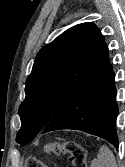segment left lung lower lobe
Instances as JSON below:
<instances>
[{
  "label": "left lung lower lobe",
  "mask_w": 125,
  "mask_h": 167,
  "mask_svg": "<svg viewBox=\"0 0 125 167\" xmlns=\"http://www.w3.org/2000/svg\"><path fill=\"white\" fill-rule=\"evenodd\" d=\"M115 73L103 45L90 74L62 105L43 133L74 129L94 134L111 142L118 149Z\"/></svg>",
  "instance_id": "left-lung-lower-lobe-1"
}]
</instances>
